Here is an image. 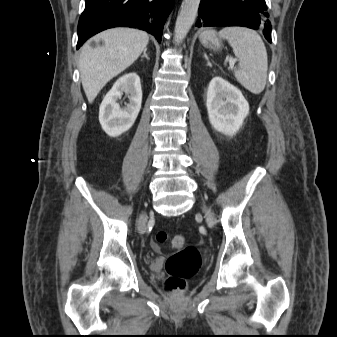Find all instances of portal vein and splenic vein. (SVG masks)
I'll list each match as a JSON object with an SVG mask.
<instances>
[{
	"mask_svg": "<svg viewBox=\"0 0 337 337\" xmlns=\"http://www.w3.org/2000/svg\"><path fill=\"white\" fill-rule=\"evenodd\" d=\"M229 64H230V68L233 69L234 64H235V59L230 58V59H229Z\"/></svg>",
	"mask_w": 337,
	"mask_h": 337,
	"instance_id": "obj_1",
	"label": "portal vein and splenic vein"
}]
</instances>
